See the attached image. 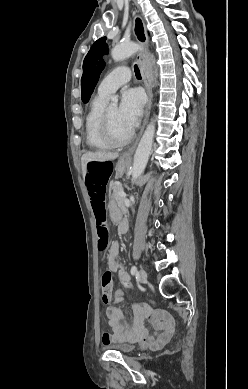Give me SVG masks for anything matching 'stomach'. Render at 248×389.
<instances>
[{
	"label": "stomach",
	"mask_w": 248,
	"mask_h": 389,
	"mask_svg": "<svg viewBox=\"0 0 248 389\" xmlns=\"http://www.w3.org/2000/svg\"><path fill=\"white\" fill-rule=\"evenodd\" d=\"M127 166H128V162H125V161L120 159L116 163V166H115V170H116L117 175L121 176L124 173V171L127 168ZM113 187L115 189H120L122 187V184L120 182H115L113 184ZM110 208L111 209L109 211V214H110L111 218L113 220H122L123 215L121 213V210L118 209V206H117L116 201L114 200V198H112L111 201H110Z\"/></svg>",
	"instance_id": "1"
}]
</instances>
